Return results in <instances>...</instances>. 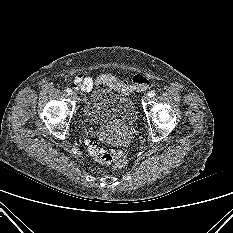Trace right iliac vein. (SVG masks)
<instances>
[{
  "label": "right iliac vein",
  "mask_w": 233,
  "mask_h": 233,
  "mask_svg": "<svg viewBox=\"0 0 233 233\" xmlns=\"http://www.w3.org/2000/svg\"><path fill=\"white\" fill-rule=\"evenodd\" d=\"M72 98L76 99L77 98V95L75 93L72 92L71 94Z\"/></svg>",
  "instance_id": "obj_1"
}]
</instances>
